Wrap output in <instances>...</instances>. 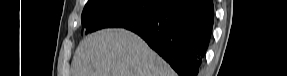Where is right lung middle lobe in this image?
<instances>
[{
  "instance_id": "dd1d6c3e",
  "label": "right lung middle lobe",
  "mask_w": 287,
  "mask_h": 76,
  "mask_svg": "<svg viewBox=\"0 0 287 76\" xmlns=\"http://www.w3.org/2000/svg\"><path fill=\"white\" fill-rule=\"evenodd\" d=\"M163 0H91L82 12L85 34L103 28L139 25L148 20Z\"/></svg>"
}]
</instances>
